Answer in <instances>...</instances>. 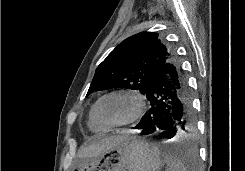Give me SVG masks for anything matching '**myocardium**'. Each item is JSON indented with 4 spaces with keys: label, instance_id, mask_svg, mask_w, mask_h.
<instances>
[{
    "label": "myocardium",
    "instance_id": "myocardium-1",
    "mask_svg": "<svg viewBox=\"0 0 245 171\" xmlns=\"http://www.w3.org/2000/svg\"><path fill=\"white\" fill-rule=\"evenodd\" d=\"M114 95H124V96L131 97L135 101L136 106H135L134 112L126 120L122 122H118V123H109L101 117L99 108H100L101 102L104 99L110 96H114ZM145 110H146V100H145L144 95L140 91L136 89H132V88H121V89H116V90L107 92L97 100V102L95 103V107H94V113H95L96 119L107 128H119V127L131 125L137 122L144 115Z\"/></svg>",
    "mask_w": 245,
    "mask_h": 171
}]
</instances>
